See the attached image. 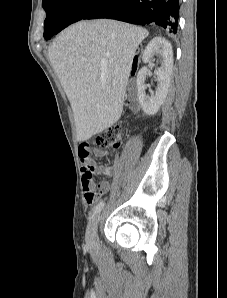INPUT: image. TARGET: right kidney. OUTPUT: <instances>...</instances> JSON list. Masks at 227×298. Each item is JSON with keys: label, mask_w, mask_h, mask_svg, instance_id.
<instances>
[{"label": "right kidney", "mask_w": 227, "mask_h": 298, "mask_svg": "<svg viewBox=\"0 0 227 298\" xmlns=\"http://www.w3.org/2000/svg\"><path fill=\"white\" fill-rule=\"evenodd\" d=\"M154 56L160 61L161 66L156 71L158 85L155 93L149 97L145 93V80L148 75L147 67H143L137 74V90L139 103L146 115H155L163 104L169 86L173 68V50L171 44L163 37L153 38L143 52L142 60L150 63Z\"/></svg>", "instance_id": "right-kidney-1"}]
</instances>
